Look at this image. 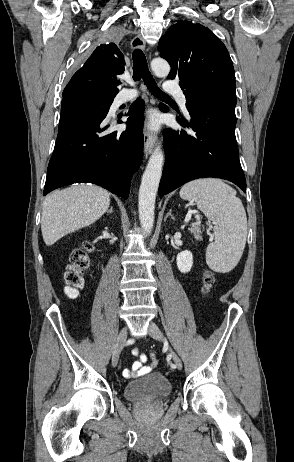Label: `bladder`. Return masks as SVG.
<instances>
[{"label":"bladder","instance_id":"bladder-1","mask_svg":"<svg viewBox=\"0 0 294 462\" xmlns=\"http://www.w3.org/2000/svg\"><path fill=\"white\" fill-rule=\"evenodd\" d=\"M124 396L134 402L155 400L172 393L170 381L160 373H151L124 386Z\"/></svg>","mask_w":294,"mask_h":462}]
</instances>
